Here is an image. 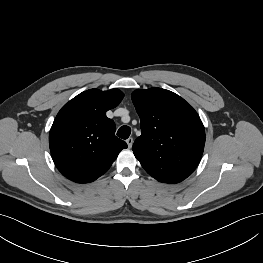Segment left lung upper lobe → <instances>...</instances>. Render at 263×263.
I'll list each match as a JSON object with an SVG mask.
<instances>
[{"instance_id": "left-lung-upper-lobe-1", "label": "left lung upper lobe", "mask_w": 263, "mask_h": 263, "mask_svg": "<svg viewBox=\"0 0 263 263\" xmlns=\"http://www.w3.org/2000/svg\"><path fill=\"white\" fill-rule=\"evenodd\" d=\"M132 101L141 119V136L132 147L148 174L166 168L190 175L205 145V129L197 112L177 94L153 87L135 90Z\"/></svg>"}]
</instances>
